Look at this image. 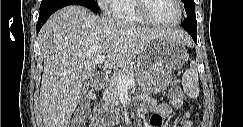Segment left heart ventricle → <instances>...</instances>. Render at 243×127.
Listing matches in <instances>:
<instances>
[{
    "instance_id": "obj_1",
    "label": "left heart ventricle",
    "mask_w": 243,
    "mask_h": 127,
    "mask_svg": "<svg viewBox=\"0 0 243 127\" xmlns=\"http://www.w3.org/2000/svg\"><path fill=\"white\" fill-rule=\"evenodd\" d=\"M149 13L158 21L172 23L179 16V9L175 0H147Z\"/></svg>"
}]
</instances>
